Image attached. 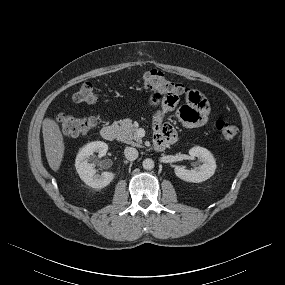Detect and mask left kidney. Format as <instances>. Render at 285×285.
Instances as JSON below:
<instances>
[{
    "label": "left kidney",
    "mask_w": 285,
    "mask_h": 285,
    "mask_svg": "<svg viewBox=\"0 0 285 285\" xmlns=\"http://www.w3.org/2000/svg\"><path fill=\"white\" fill-rule=\"evenodd\" d=\"M189 154L192 157H198L203 164L199 171L187 170L183 166H176L174 171L178 178L186 182L200 183L214 175L216 162L210 151L196 146L189 150Z\"/></svg>",
    "instance_id": "5707ae66"
}]
</instances>
